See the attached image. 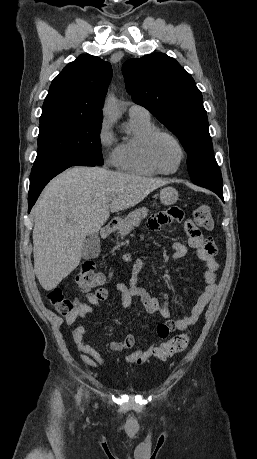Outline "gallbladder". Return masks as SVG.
Here are the masks:
<instances>
[{
    "instance_id": "gallbladder-1",
    "label": "gallbladder",
    "mask_w": 257,
    "mask_h": 459,
    "mask_svg": "<svg viewBox=\"0 0 257 459\" xmlns=\"http://www.w3.org/2000/svg\"><path fill=\"white\" fill-rule=\"evenodd\" d=\"M100 253V238L98 234H93L86 238L81 249L83 259L96 258Z\"/></svg>"
}]
</instances>
